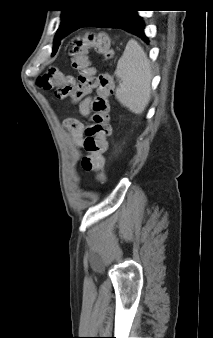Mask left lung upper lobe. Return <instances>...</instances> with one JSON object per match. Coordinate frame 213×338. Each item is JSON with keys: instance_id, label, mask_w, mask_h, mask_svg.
<instances>
[{"instance_id": "left-lung-upper-lobe-1", "label": "left lung upper lobe", "mask_w": 213, "mask_h": 338, "mask_svg": "<svg viewBox=\"0 0 213 338\" xmlns=\"http://www.w3.org/2000/svg\"><path fill=\"white\" fill-rule=\"evenodd\" d=\"M72 3L70 8L62 11L61 24L54 39V46L52 56L57 52L61 40L68 35L70 27L78 20V18L85 13L88 8L87 5L102 2V0H69Z\"/></svg>"}]
</instances>
